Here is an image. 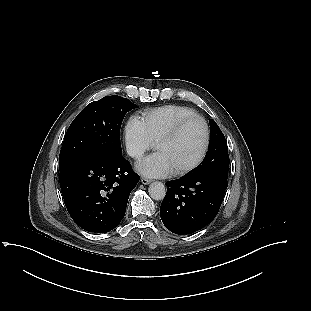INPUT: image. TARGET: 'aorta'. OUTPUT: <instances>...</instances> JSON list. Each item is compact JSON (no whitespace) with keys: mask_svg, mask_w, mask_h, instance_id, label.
<instances>
[{"mask_svg":"<svg viewBox=\"0 0 311 311\" xmlns=\"http://www.w3.org/2000/svg\"><path fill=\"white\" fill-rule=\"evenodd\" d=\"M149 195L154 200H163L166 195V188L162 182L155 181L149 185Z\"/></svg>","mask_w":311,"mask_h":311,"instance_id":"762f6f07","label":"aorta"}]
</instances>
